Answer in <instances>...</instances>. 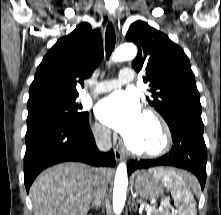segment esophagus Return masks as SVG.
<instances>
[{"mask_svg":"<svg viewBox=\"0 0 221 215\" xmlns=\"http://www.w3.org/2000/svg\"><path fill=\"white\" fill-rule=\"evenodd\" d=\"M110 20L116 26V16L114 14H111ZM114 155L117 161L125 160V154L119 148H114Z\"/></svg>","mask_w":221,"mask_h":215,"instance_id":"34e87169","label":"esophagus"}]
</instances>
